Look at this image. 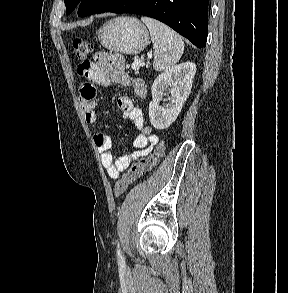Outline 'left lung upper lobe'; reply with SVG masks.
<instances>
[{"label":"left lung upper lobe","instance_id":"5c2ea615","mask_svg":"<svg viewBox=\"0 0 288 293\" xmlns=\"http://www.w3.org/2000/svg\"><path fill=\"white\" fill-rule=\"evenodd\" d=\"M119 0H64L67 14H70L80 4L78 14L81 17L101 13L111 4Z\"/></svg>","mask_w":288,"mask_h":293}]
</instances>
